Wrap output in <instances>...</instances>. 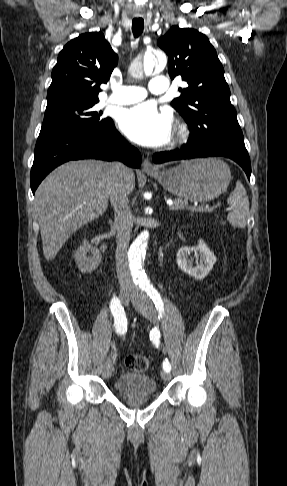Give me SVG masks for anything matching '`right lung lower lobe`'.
I'll return each instance as SVG.
<instances>
[{
    "mask_svg": "<svg viewBox=\"0 0 287 486\" xmlns=\"http://www.w3.org/2000/svg\"><path fill=\"white\" fill-rule=\"evenodd\" d=\"M89 158L120 160L134 168L141 165V154L121 136L110 118L103 127L88 132L38 137L31 169L32 192L49 172L62 163Z\"/></svg>",
    "mask_w": 287,
    "mask_h": 486,
    "instance_id": "obj_1",
    "label": "right lung lower lobe"
}]
</instances>
